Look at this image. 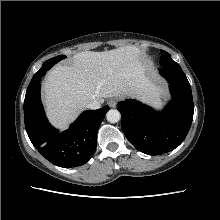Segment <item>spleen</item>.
Returning <instances> with one entry per match:
<instances>
[{"label": "spleen", "instance_id": "obj_1", "mask_svg": "<svg viewBox=\"0 0 220 220\" xmlns=\"http://www.w3.org/2000/svg\"><path fill=\"white\" fill-rule=\"evenodd\" d=\"M152 104H153L155 107L160 108L162 103L160 102L159 99H155V100L152 101Z\"/></svg>", "mask_w": 220, "mask_h": 220}]
</instances>
